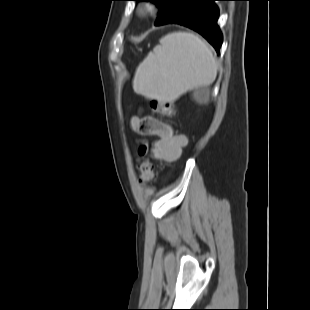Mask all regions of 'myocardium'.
I'll list each match as a JSON object with an SVG mask.
<instances>
[{"instance_id": "myocardium-1", "label": "myocardium", "mask_w": 310, "mask_h": 310, "mask_svg": "<svg viewBox=\"0 0 310 310\" xmlns=\"http://www.w3.org/2000/svg\"><path fill=\"white\" fill-rule=\"evenodd\" d=\"M149 12H150V8H149V7H141V8L139 9V13H140L141 15H147Z\"/></svg>"}]
</instances>
